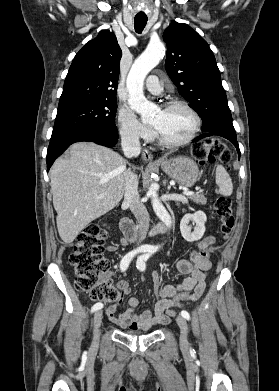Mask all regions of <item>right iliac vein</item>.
Returning a JSON list of instances; mask_svg holds the SVG:
<instances>
[{
    "label": "right iliac vein",
    "instance_id": "right-iliac-vein-1",
    "mask_svg": "<svg viewBox=\"0 0 279 391\" xmlns=\"http://www.w3.org/2000/svg\"><path fill=\"white\" fill-rule=\"evenodd\" d=\"M102 318H103V312L102 311H97L94 314V319H93V334H94V343H96L99 339L100 335V325L102 323Z\"/></svg>",
    "mask_w": 279,
    "mask_h": 391
}]
</instances>
